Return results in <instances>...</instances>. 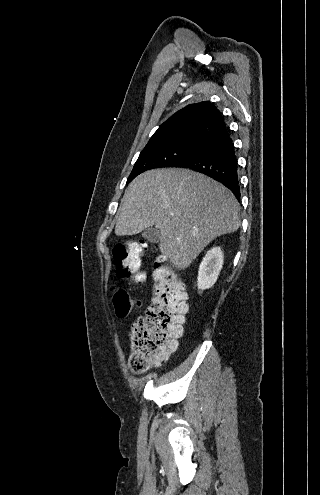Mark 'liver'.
<instances>
[{"label":"liver","mask_w":320,"mask_h":495,"mask_svg":"<svg viewBox=\"0 0 320 495\" xmlns=\"http://www.w3.org/2000/svg\"><path fill=\"white\" fill-rule=\"evenodd\" d=\"M153 225L160 230L162 254L182 270L216 237L237 231L239 203L229 189L203 174L149 170L125 191L115 234L136 235Z\"/></svg>","instance_id":"obj_1"}]
</instances>
